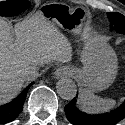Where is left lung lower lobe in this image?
<instances>
[{
	"label": "left lung lower lobe",
	"instance_id": "obj_1",
	"mask_svg": "<svg viewBox=\"0 0 125 125\" xmlns=\"http://www.w3.org/2000/svg\"><path fill=\"white\" fill-rule=\"evenodd\" d=\"M64 110L68 120L74 125H115L125 118V102L109 113L90 115L77 108L75 97Z\"/></svg>",
	"mask_w": 125,
	"mask_h": 125
}]
</instances>
